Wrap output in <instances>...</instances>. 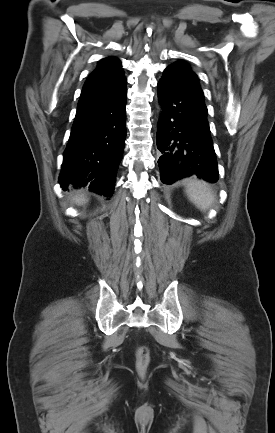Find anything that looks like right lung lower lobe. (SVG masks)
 Instances as JSON below:
<instances>
[{"instance_id":"98d812e1","label":"right lung lower lobe","mask_w":275,"mask_h":433,"mask_svg":"<svg viewBox=\"0 0 275 433\" xmlns=\"http://www.w3.org/2000/svg\"><path fill=\"white\" fill-rule=\"evenodd\" d=\"M126 84L81 96L59 183L110 197L126 138Z\"/></svg>"}]
</instances>
